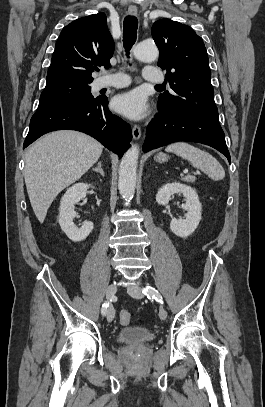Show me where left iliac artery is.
Masks as SVG:
<instances>
[{"label":"left iliac artery","mask_w":265,"mask_h":407,"mask_svg":"<svg viewBox=\"0 0 265 407\" xmlns=\"http://www.w3.org/2000/svg\"><path fill=\"white\" fill-rule=\"evenodd\" d=\"M148 298H154L159 303L163 304V298L161 294L153 287L147 286L142 291Z\"/></svg>","instance_id":"44dca946"}]
</instances>
